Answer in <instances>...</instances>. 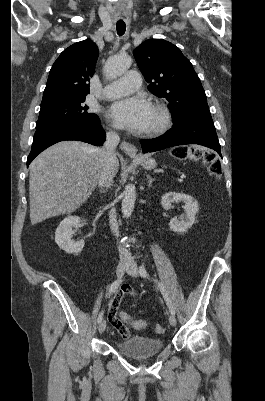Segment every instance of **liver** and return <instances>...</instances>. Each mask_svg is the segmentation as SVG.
Instances as JSON below:
<instances>
[{
  "label": "liver",
  "instance_id": "liver-1",
  "mask_svg": "<svg viewBox=\"0 0 265 401\" xmlns=\"http://www.w3.org/2000/svg\"><path fill=\"white\" fill-rule=\"evenodd\" d=\"M102 154L103 148L77 140H62L38 154L29 166L31 225L79 209L98 184ZM118 168L115 158L114 174Z\"/></svg>",
  "mask_w": 265,
  "mask_h": 401
}]
</instances>
